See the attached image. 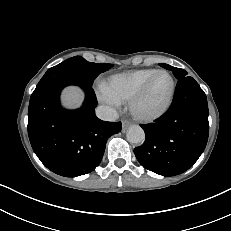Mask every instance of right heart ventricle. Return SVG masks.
<instances>
[{
    "label": "right heart ventricle",
    "mask_w": 231,
    "mask_h": 231,
    "mask_svg": "<svg viewBox=\"0 0 231 231\" xmlns=\"http://www.w3.org/2000/svg\"><path fill=\"white\" fill-rule=\"evenodd\" d=\"M156 71L137 69L114 74L102 83L101 92L117 102L127 101Z\"/></svg>",
    "instance_id": "obj_1"
}]
</instances>
